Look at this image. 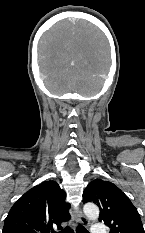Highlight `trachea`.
Returning <instances> with one entry per match:
<instances>
[{
    "label": "trachea",
    "mask_w": 145,
    "mask_h": 233,
    "mask_svg": "<svg viewBox=\"0 0 145 233\" xmlns=\"http://www.w3.org/2000/svg\"><path fill=\"white\" fill-rule=\"evenodd\" d=\"M77 233H89L88 230H86L82 225L77 226ZM73 229L69 226H67L65 229L61 230L59 233H73Z\"/></svg>",
    "instance_id": "trachea-1"
}]
</instances>
